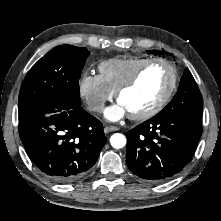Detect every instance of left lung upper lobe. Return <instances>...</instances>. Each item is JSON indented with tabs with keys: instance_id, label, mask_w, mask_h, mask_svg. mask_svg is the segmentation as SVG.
Here are the masks:
<instances>
[{
	"instance_id": "1",
	"label": "left lung upper lobe",
	"mask_w": 221,
	"mask_h": 221,
	"mask_svg": "<svg viewBox=\"0 0 221 221\" xmlns=\"http://www.w3.org/2000/svg\"><path fill=\"white\" fill-rule=\"evenodd\" d=\"M164 110L173 111L202 123V95L188 68L184 71L176 95Z\"/></svg>"
}]
</instances>
